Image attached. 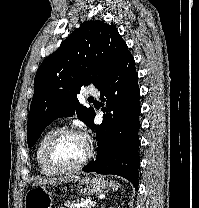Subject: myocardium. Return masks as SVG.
Returning <instances> with one entry per match:
<instances>
[{"label": "myocardium", "mask_w": 199, "mask_h": 208, "mask_svg": "<svg viewBox=\"0 0 199 208\" xmlns=\"http://www.w3.org/2000/svg\"><path fill=\"white\" fill-rule=\"evenodd\" d=\"M70 134L74 135H79L82 137V139L85 142L86 148H87V153L85 157L77 164L73 166H62L54 158V149L57 143L64 137ZM94 155V149L92 144L89 141V138L85 133H83L81 130L74 128V127H66L59 129L49 140L46 150H45V156H46V161L48 165L58 173H71L78 171L82 169L84 166H86L89 161L92 159Z\"/></svg>", "instance_id": "f54148a6"}]
</instances>
